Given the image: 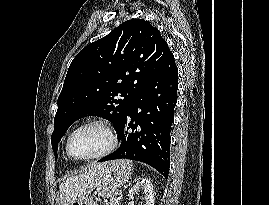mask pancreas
Returning a JSON list of instances; mask_svg holds the SVG:
<instances>
[{"label": "pancreas", "instance_id": "obj_1", "mask_svg": "<svg viewBox=\"0 0 269 205\" xmlns=\"http://www.w3.org/2000/svg\"><path fill=\"white\" fill-rule=\"evenodd\" d=\"M120 200H121L120 197H118V196L116 195L114 198L110 199V201L107 202V203L104 204V205H119Z\"/></svg>", "mask_w": 269, "mask_h": 205}]
</instances>
